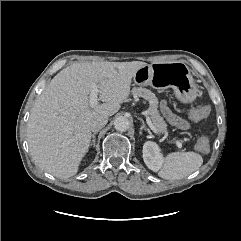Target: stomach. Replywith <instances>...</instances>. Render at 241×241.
I'll list each match as a JSON object with an SVG mask.
<instances>
[{
	"mask_svg": "<svg viewBox=\"0 0 241 241\" xmlns=\"http://www.w3.org/2000/svg\"><path fill=\"white\" fill-rule=\"evenodd\" d=\"M133 79L139 86H152L161 90L173 88L176 96L183 102L193 101L198 93L190 69L182 61L145 65L137 70Z\"/></svg>",
	"mask_w": 241,
	"mask_h": 241,
	"instance_id": "0dacf381",
	"label": "stomach"
}]
</instances>
